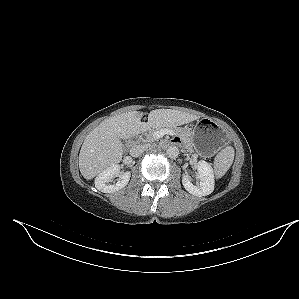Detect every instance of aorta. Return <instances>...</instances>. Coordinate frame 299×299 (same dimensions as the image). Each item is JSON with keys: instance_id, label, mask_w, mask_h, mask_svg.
<instances>
[{"instance_id": "1", "label": "aorta", "mask_w": 299, "mask_h": 299, "mask_svg": "<svg viewBox=\"0 0 299 299\" xmlns=\"http://www.w3.org/2000/svg\"><path fill=\"white\" fill-rule=\"evenodd\" d=\"M166 154L169 158H177L179 155V149L176 146H169L166 150Z\"/></svg>"}]
</instances>
